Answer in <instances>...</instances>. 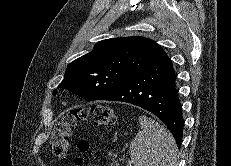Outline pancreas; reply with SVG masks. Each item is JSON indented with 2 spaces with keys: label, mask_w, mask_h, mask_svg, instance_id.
I'll list each match as a JSON object with an SVG mask.
<instances>
[{
  "label": "pancreas",
  "mask_w": 231,
  "mask_h": 166,
  "mask_svg": "<svg viewBox=\"0 0 231 166\" xmlns=\"http://www.w3.org/2000/svg\"><path fill=\"white\" fill-rule=\"evenodd\" d=\"M114 166H118V164L116 163V164H114Z\"/></svg>",
  "instance_id": "cf45deb5"
}]
</instances>
